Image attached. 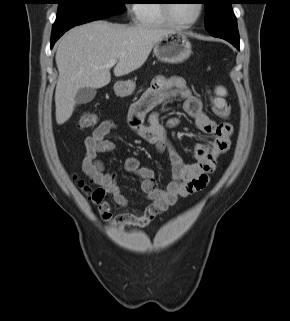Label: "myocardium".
Masks as SVG:
<instances>
[{"mask_svg": "<svg viewBox=\"0 0 290 321\" xmlns=\"http://www.w3.org/2000/svg\"><path fill=\"white\" fill-rule=\"evenodd\" d=\"M172 0H162V11L168 20L169 24L177 28H189L195 25L201 18L204 10V5L201 1H197V14L195 18L189 22H179L172 15Z\"/></svg>", "mask_w": 290, "mask_h": 321, "instance_id": "obj_1", "label": "myocardium"}]
</instances>
